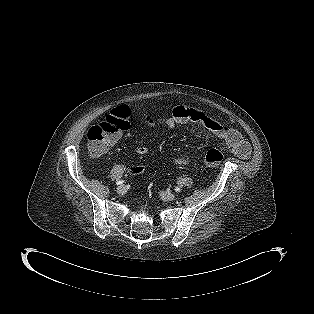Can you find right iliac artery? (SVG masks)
<instances>
[{"mask_svg": "<svg viewBox=\"0 0 314 314\" xmlns=\"http://www.w3.org/2000/svg\"><path fill=\"white\" fill-rule=\"evenodd\" d=\"M123 183H124L123 180H119V181L116 182L117 185H122Z\"/></svg>", "mask_w": 314, "mask_h": 314, "instance_id": "right-iliac-artery-1", "label": "right iliac artery"}]
</instances>
